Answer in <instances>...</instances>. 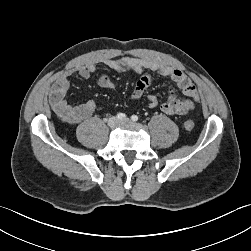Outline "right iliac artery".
<instances>
[{
	"label": "right iliac artery",
	"mask_w": 251,
	"mask_h": 251,
	"mask_svg": "<svg viewBox=\"0 0 251 251\" xmlns=\"http://www.w3.org/2000/svg\"><path fill=\"white\" fill-rule=\"evenodd\" d=\"M116 117H117L118 119H125V118H126V115H125L124 113H118V114L116 115Z\"/></svg>",
	"instance_id": "obj_1"
}]
</instances>
